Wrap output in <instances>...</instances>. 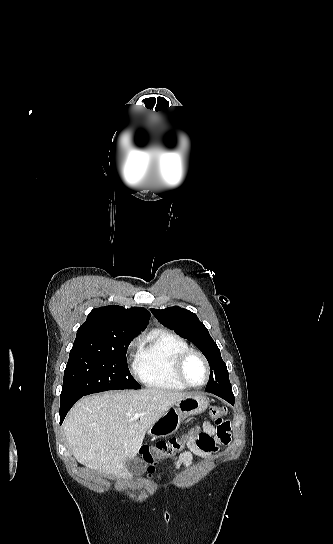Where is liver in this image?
<instances>
[{
  "label": "liver",
  "instance_id": "1",
  "mask_svg": "<svg viewBox=\"0 0 333 544\" xmlns=\"http://www.w3.org/2000/svg\"><path fill=\"white\" fill-rule=\"evenodd\" d=\"M186 396L165 389L87 396L68 413L64 434L79 463L112 477H128L125 463L137 455L146 431ZM135 413L139 420H132Z\"/></svg>",
  "mask_w": 333,
  "mask_h": 544
}]
</instances>
